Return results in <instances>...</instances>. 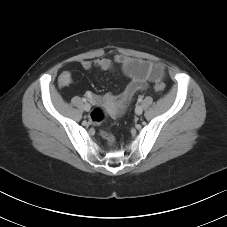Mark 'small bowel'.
Here are the masks:
<instances>
[{
  "mask_svg": "<svg viewBox=\"0 0 227 227\" xmlns=\"http://www.w3.org/2000/svg\"><path fill=\"white\" fill-rule=\"evenodd\" d=\"M115 64L120 66L122 73L128 78L123 91L119 94L106 93L104 95L88 91L86 97L94 104L106 103L111 105L113 114L119 115L126 109L136 92L145 90L149 82H157L162 78L163 69L148 61L124 55H117L114 59L99 57L80 62V66L84 70L99 69L101 71H109ZM71 82L72 74L70 71H63L59 74L57 79L59 87H66Z\"/></svg>",
  "mask_w": 227,
  "mask_h": 227,
  "instance_id": "small-bowel-1",
  "label": "small bowel"
}]
</instances>
